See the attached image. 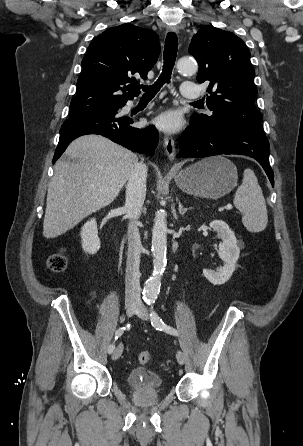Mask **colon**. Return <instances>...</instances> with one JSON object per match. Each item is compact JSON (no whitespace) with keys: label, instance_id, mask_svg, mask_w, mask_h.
Listing matches in <instances>:
<instances>
[{"label":"colon","instance_id":"1","mask_svg":"<svg viewBox=\"0 0 303 446\" xmlns=\"http://www.w3.org/2000/svg\"><path fill=\"white\" fill-rule=\"evenodd\" d=\"M67 257L62 251L51 254L47 259V267L53 273L63 272L67 268ZM138 361L143 364H149L152 361V355L148 351H142L138 355Z\"/></svg>","mask_w":303,"mask_h":446}]
</instances>
